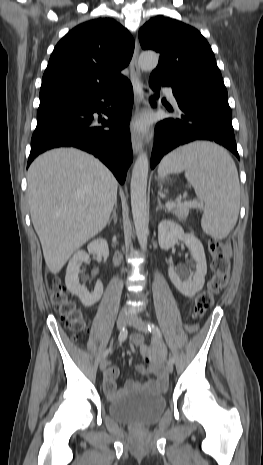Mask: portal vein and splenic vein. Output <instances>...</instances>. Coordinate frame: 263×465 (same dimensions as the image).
<instances>
[{
    "mask_svg": "<svg viewBox=\"0 0 263 465\" xmlns=\"http://www.w3.org/2000/svg\"><path fill=\"white\" fill-rule=\"evenodd\" d=\"M187 193H184L183 198H185ZM184 205L189 208H196V207H201V203L197 201H190V202H181V200H176V202H168L166 203V208L169 210H172L176 208L177 206Z\"/></svg>",
    "mask_w": 263,
    "mask_h": 465,
    "instance_id": "portal-vein-and-splenic-vein-1",
    "label": "portal vein and splenic vein"
}]
</instances>
